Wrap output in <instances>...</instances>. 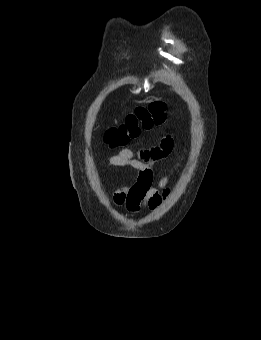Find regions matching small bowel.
<instances>
[{"label":"small bowel","mask_w":261,"mask_h":340,"mask_svg":"<svg viewBox=\"0 0 261 340\" xmlns=\"http://www.w3.org/2000/svg\"><path fill=\"white\" fill-rule=\"evenodd\" d=\"M173 148L172 136L165 134L155 146L139 150L123 148L111 156L107 160L109 165L131 167L138 171L137 180L133 185L121 186L114 191L113 203L132 214H137L142 208L155 210L169 193L168 182L171 174L163 176L154 187L151 164L169 156ZM179 166L180 163H177L175 169Z\"/></svg>","instance_id":"1"}]
</instances>
